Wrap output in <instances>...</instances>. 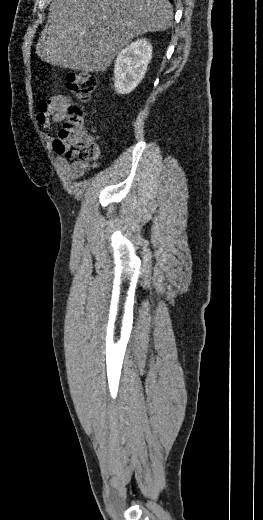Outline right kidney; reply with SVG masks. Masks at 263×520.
Listing matches in <instances>:
<instances>
[{"label":"right kidney","mask_w":263,"mask_h":520,"mask_svg":"<svg viewBox=\"0 0 263 520\" xmlns=\"http://www.w3.org/2000/svg\"><path fill=\"white\" fill-rule=\"evenodd\" d=\"M152 58V46L138 39L118 54L114 67V87L118 94H129L144 78Z\"/></svg>","instance_id":"obj_1"}]
</instances>
